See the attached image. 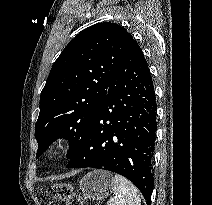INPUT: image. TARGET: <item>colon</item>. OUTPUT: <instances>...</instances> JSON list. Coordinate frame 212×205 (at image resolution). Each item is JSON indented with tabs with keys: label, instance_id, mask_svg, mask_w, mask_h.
Masks as SVG:
<instances>
[{
	"label": "colon",
	"instance_id": "colon-1",
	"mask_svg": "<svg viewBox=\"0 0 212 205\" xmlns=\"http://www.w3.org/2000/svg\"><path fill=\"white\" fill-rule=\"evenodd\" d=\"M49 199L62 202L64 205H83L81 197L69 183H56L47 190Z\"/></svg>",
	"mask_w": 212,
	"mask_h": 205
}]
</instances>
